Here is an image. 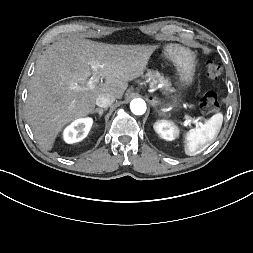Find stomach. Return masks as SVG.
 Here are the masks:
<instances>
[{
    "label": "stomach",
    "instance_id": "stomach-1",
    "mask_svg": "<svg viewBox=\"0 0 253 253\" xmlns=\"http://www.w3.org/2000/svg\"><path fill=\"white\" fill-rule=\"evenodd\" d=\"M164 56L175 66L179 80L191 84L195 75V53L179 44H168L164 48ZM152 103L155 105L157 101L153 99Z\"/></svg>",
    "mask_w": 253,
    "mask_h": 253
}]
</instances>
